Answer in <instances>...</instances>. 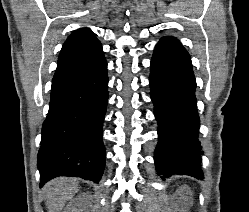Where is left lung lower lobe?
I'll use <instances>...</instances> for the list:
<instances>
[{
    "label": "left lung lower lobe",
    "mask_w": 249,
    "mask_h": 212,
    "mask_svg": "<svg viewBox=\"0 0 249 212\" xmlns=\"http://www.w3.org/2000/svg\"><path fill=\"white\" fill-rule=\"evenodd\" d=\"M154 114L158 122L155 149L157 174L204 178L200 168L199 117L196 82L188 52L180 44L159 41L149 77Z\"/></svg>",
    "instance_id": "0a47b994"
}]
</instances>
